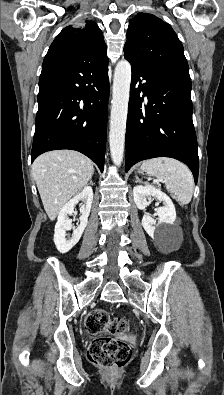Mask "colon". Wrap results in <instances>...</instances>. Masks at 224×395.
Segmentation results:
<instances>
[{
	"label": "colon",
	"instance_id": "obj_1",
	"mask_svg": "<svg viewBox=\"0 0 224 395\" xmlns=\"http://www.w3.org/2000/svg\"><path fill=\"white\" fill-rule=\"evenodd\" d=\"M85 328L93 335L104 331L115 335L125 332L128 322L123 318H111L103 309H94L85 318ZM131 352L127 342L112 336H100L91 343L88 355L90 361L97 366L119 369L128 364Z\"/></svg>",
	"mask_w": 224,
	"mask_h": 395
}]
</instances>
